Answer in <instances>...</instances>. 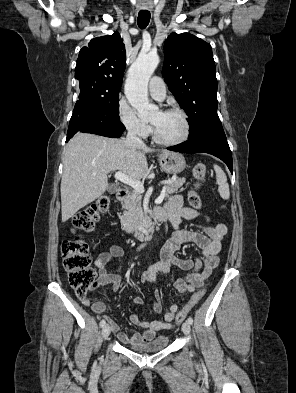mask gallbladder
Returning <instances> with one entry per match:
<instances>
[{"mask_svg":"<svg viewBox=\"0 0 296 393\" xmlns=\"http://www.w3.org/2000/svg\"><path fill=\"white\" fill-rule=\"evenodd\" d=\"M117 190H118V186L113 185V184L109 185V187H108V189H107V191H108L110 194L116 193Z\"/></svg>","mask_w":296,"mask_h":393,"instance_id":"obj_1","label":"gallbladder"}]
</instances>
